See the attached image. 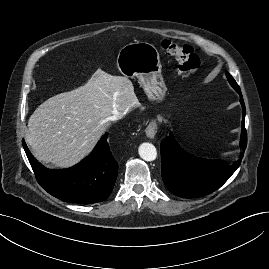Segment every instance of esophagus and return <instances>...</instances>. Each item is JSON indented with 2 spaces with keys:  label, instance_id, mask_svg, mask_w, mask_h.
<instances>
[{
  "label": "esophagus",
  "instance_id": "esophagus-1",
  "mask_svg": "<svg viewBox=\"0 0 269 269\" xmlns=\"http://www.w3.org/2000/svg\"><path fill=\"white\" fill-rule=\"evenodd\" d=\"M158 125L156 120H152L145 129L148 138L153 139L157 133Z\"/></svg>",
  "mask_w": 269,
  "mask_h": 269
}]
</instances>
